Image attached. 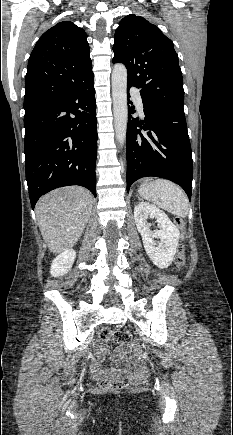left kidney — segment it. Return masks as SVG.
<instances>
[{"label": "left kidney", "mask_w": 233, "mask_h": 435, "mask_svg": "<svg viewBox=\"0 0 233 435\" xmlns=\"http://www.w3.org/2000/svg\"><path fill=\"white\" fill-rule=\"evenodd\" d=\"M148 218H155L161 230L151 231ZM134 219L146 253L152 262L161 269L167 268L173 261L179 242L180 232L169 217L160 209L147 202H139L134 208ZM155 238H159L156 246Z\"/></svg>", "instance_id": "obj_1"}]
</instances>
